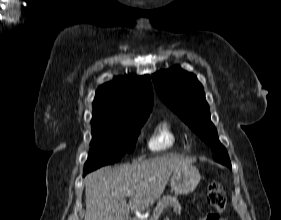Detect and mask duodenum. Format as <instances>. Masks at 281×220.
Instances as JSON below:
<instances>
[{"mask_svg":"<svg viewBox=\"0 0 281 220\" xmlns=\"http://www.w3.org/2000/svg\"><path fill=\"white\" fill-rule=\"evenodd\" d=\"M131 220H138V219H136V218H133V219H131Z\"/></svg>","mask_w":281,"mask_h":220,"instance_id":"410a0bca","label":"duodenum"}]
</instances>
